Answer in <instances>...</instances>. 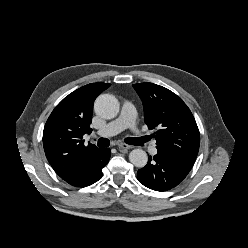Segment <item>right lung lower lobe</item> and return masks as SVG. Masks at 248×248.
<instances>
[{"mask_svg":"<svg viewBox=\"0 0 248 248\" xmlns=\"http://www.w3.org/2000/svg\"><path fill=\"white\" fill-rule=\"evenodd\" d=\"M110 155V148L94 151L75 173L64 180L75 187H86L95 183L102 177V168L108 163Z\"/></svg>","mask_w":248,"mask_h":248,"instance_id":"1","label":"right lung lower lobe"}]
</instances>
